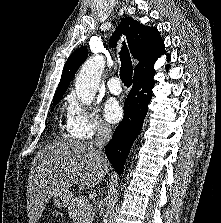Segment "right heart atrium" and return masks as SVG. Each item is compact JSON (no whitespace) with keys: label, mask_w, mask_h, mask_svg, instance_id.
Segmentation results:
<instances>
[{"label":"right heart atrium","mask_w":221,"mask_h":223,"mask_svg":"<svg viewBox=\"0 0 221 223\" xmlns=\"http://www.w3.org/2000/svg\"><path fill=\"white\" fill-rule=\"evenodd\" d=\"M66 128L69 136L79 139H91L98 134H107L110 126L95 110L81 105L74 94L67 98Z\"/></svg>","instance_id":"obj_1"}]
</instances>
